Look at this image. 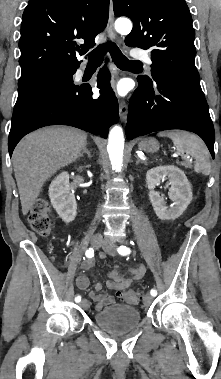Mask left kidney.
<instances>
[{"label":"left kidney","instance_id":"left-kidney-1","mask_svg":"<svg viewBox=\"0 0 221 379\" xmlns=\"http://www.w3.org/2000/svg\"><path fill=\"white\" fill-rule=\"evenodd\" d=\"M169 179L171 188L169 198L173 206H167L163 197L154 189L161 180ZM146 182L149 198L156 216L161 220H174L180 217L192 201L191 185L182 170L176 166H158L147 171Z\"/></svg>","mask_w":221,"mask_h":379}]
</instances>
